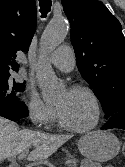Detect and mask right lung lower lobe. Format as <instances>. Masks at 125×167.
<instances>
[{"instance_id": "1", "label": "right lung lower lobe", "mask_w": 125, "mask_h": 167, "mask_svg": "<svg viewBox=\"0 0 125 167\" xmlns=\"http://www.w3.org/2000/svg\"><path fill=\"white\" fill-rule=\"evenodd\" d=\"M0 116L12 121H18L28 116V109L22 102L15 103L0 99Z\"/></svg>"}]
</instances>
